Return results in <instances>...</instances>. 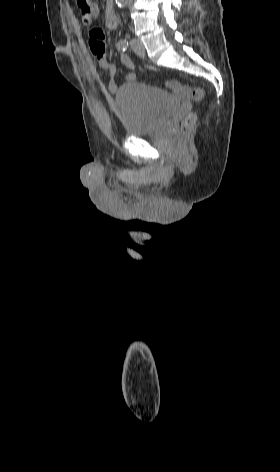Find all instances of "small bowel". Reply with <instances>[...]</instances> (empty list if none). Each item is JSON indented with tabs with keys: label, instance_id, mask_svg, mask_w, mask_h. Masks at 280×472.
Segmentation results:
<instances>
[{
	"label": "small bowel",
	"instance_id": "c3829d8e",
	"mask_svg": "<svg viewBox=\"0 0 280 472\" xmlns=\"http://www.w3.org/2000/svg\"><path fill=\"white\" fill-rule=\"evenodd\" d=\"M104 32L100 28H92L89 31V48L91 53L96 59L97 65L107 72L109 77L108 82V91L110 93H115L117 90V85L115 82L117 67L114 63L110 62L106 57L105 53V43H104ZM120 61L126 67L130 69V72L126 76L127 81H133L137 77L135 70V65L132 60L127 56L122 54L120 56ZM169 86L176 88L177 83L175 81H170Z\"/></svg>",
	"mask_w": 280,
	"mask_h": 472
}]
</instances>
